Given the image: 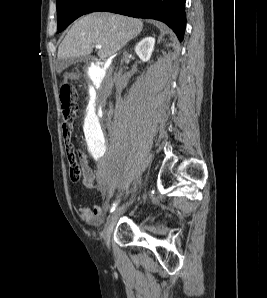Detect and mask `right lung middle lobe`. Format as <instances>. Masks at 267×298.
<instances>
[{
	"mask_svg": "<svg viewBox=\"0 0 267 298\" xmlns=\"http://www.w3.org/2000/svg\"><path fill=\"white\" fill-rule=\"evenodd\" d=\"M59 32L78 17L93 12L104 0H56Z\"/></svg>",
	"mask_w": 267,
	"mask_h": 298,
	"instance_id": "1",
	"label": "right lung middle lobe"
}]
</instances>
